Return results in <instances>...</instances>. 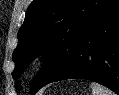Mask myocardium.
<instances>
[{
	"instance_id": "f54148a6",
	"label": "myocardium",
	"mask_w": 119,
	"mask_h": 95,
	"mask_svg": "<svg viewBox=\"0 0 119 95\" xmlns=\"http://www.w3.org/2000/svg\"><path fill=\"white\" fill-rule=\"evenodd\" d=\"M47 63V57L45 55H40L38 57H36L34 64L37 67H42Z\"/></svg>"
}]
</instances>
